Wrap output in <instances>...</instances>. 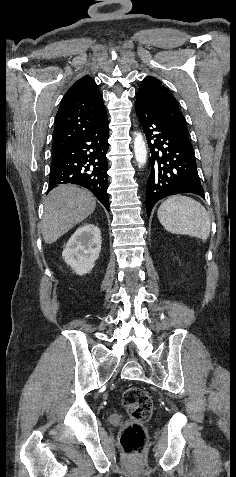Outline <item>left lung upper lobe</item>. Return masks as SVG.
Instances as JSON below:
<instances>
[{
    "label": "left lung upper lobe",
    "instance_id": "1",
    "mask_svg": "<svg viewBox=\"0 0 236 477\" xmlns=\"http://www.w3.org/2000/svg\"><path fill=\"white\" fill-rule=\"evenodd\" d=\"M137 99L148 105L179 136L189 141L186 120L180 113L177 101L158 79L145 77L138 90Z\"/></svg>",
    "mask_w": 236,
    "mask_h": 477
}]
</instances>
